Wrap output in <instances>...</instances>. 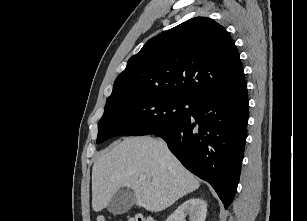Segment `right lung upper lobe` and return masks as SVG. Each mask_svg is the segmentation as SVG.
<instances>
[{"label":"right lung upper lobe","instance_id":"1","mask_svg":"<svg viewBox=\"0 0 307 221\" xmlns=\"http://www.w3.org/2000/svg\"><path fill=\"white\" fill-rule=\"evenodd\" d=\"M244 86L240 57L229 33L210 18L196 17L148 40L116 78L106 104L147 93L195 102Z\"/></svg>","mask_w":307,"mask_h":221}]
</instances>
